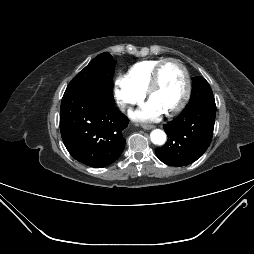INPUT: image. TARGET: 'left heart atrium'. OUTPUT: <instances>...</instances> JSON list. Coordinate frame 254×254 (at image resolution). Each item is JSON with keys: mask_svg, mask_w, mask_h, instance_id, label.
Masks as SVG:
<instances>
[{"mask_svg": "<svg viewBox=\"0 0 254 254\" xmlns=\"http://www.w3.org/2000/svg\"><path fill=\"white\" fill-rule=\"evenodd\" d=\"M164 111H162L152 101L145 103L140 109L135 112H131V116L137 120L143 121H155L158 120Z\"/></svg>", "mask_w": 254, "mask_h": 254, "instance_id": "39dd6f15", "label": "left heart atrium"}]
</instances>
